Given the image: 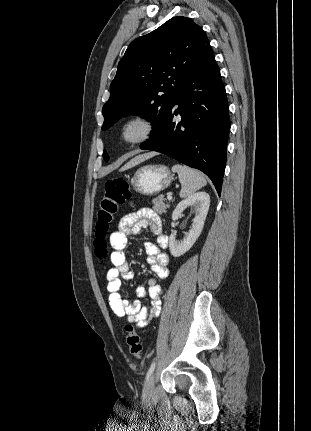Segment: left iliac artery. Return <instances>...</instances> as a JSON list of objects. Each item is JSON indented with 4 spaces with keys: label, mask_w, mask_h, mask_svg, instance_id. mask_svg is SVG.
Instances as JSON below:
<instances>
[{
    "label": "left iliac artery",
    "mask_w": 311,
    "mask_h": 431,
    "mask_svg": "<svg viewBox=\"0 0 311 431\" xmlns=\"http://www.w3.org/2000/svg\"><path fill=\"white\" fill-rule=\"evenodd\" d=\"M155 365H156V363H155V362H153V363L151 364L150 368L148 369L147 375H146V380H148V379H149V377L152 375V373H153V371H154V369H155Z\"/></svg>",
    "instance_id": "obj_1"
}]
</instances>
